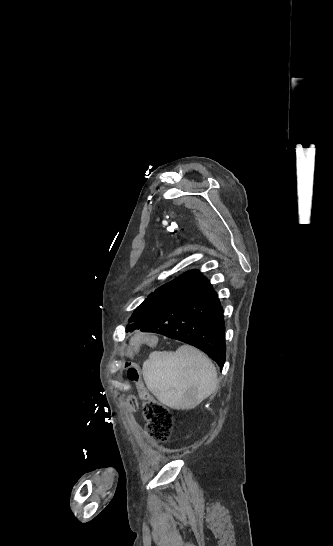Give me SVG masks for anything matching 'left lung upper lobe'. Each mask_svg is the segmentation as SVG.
I'll list each match as a JSON object with an SVG mask.
<instances>
[{
	"label": "left lung upper lobe",
	"instance_id": "5c2ea615",
	"mask_svg": "<svg viewBox=\"0 0 333 546\" xmlns=\"http://www.w3.org/2000/svg\"><path fill=\"white\" fill-rule=\"evenodd\" d=\"M198 274L199 271L197 270L187 271L151 293L131 316L135 320L136 326L138 328L145 326L160 309L176 300L190 286Z\"/></svg>",
	"mask_w": 333,
	"mask_h": 546
}]
</instances>
